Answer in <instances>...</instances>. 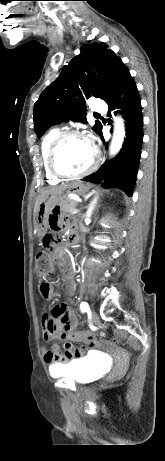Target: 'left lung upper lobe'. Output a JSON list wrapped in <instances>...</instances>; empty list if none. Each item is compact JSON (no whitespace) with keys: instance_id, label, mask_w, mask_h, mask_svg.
Returning a JSON list of instances; mask_svg holds the SVG:
<instances>
[{"instance_id":"5c2ea615","label":"left lung upper lobe","mask_w":165,"mask_h":461,"mask_svg":"<svg viewBox=\"0 0 165 461\" xmlns=\"http://www.w3.org/2000/svg\"><path fill=\"white\" fill-rule=\"evenodd\" d=\"M128 68L104 43L85 44L59 77L40 95L34 105V129L38 137L52 124L67 120L86 123V99L105 100L121 74ZM97 134L102 125L92 128Z\"/></svg>"}]
</instances>
